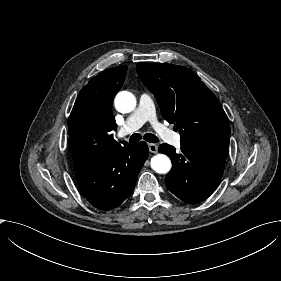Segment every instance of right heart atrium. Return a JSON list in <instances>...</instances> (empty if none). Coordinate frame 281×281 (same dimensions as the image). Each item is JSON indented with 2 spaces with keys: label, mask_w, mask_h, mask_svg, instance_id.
<instances>
[{
  "label": "right heart atrium",
  "mask_w": 281,
  "mask_h": 281,
  "mask_svg": "<svg viewBox=\"0 0 281 281\" xmlns=\"http://www.w3.org/2000/svg\"><path fill=\"white\" fill-rule=\"evenodd\" d=\"M130 103V96L125 92H119L116 95L115 105L116 107L119 106L123 109H128Z\"/></svg>",
  "instance_id": "d8ad5b80"
}]
</instances>
